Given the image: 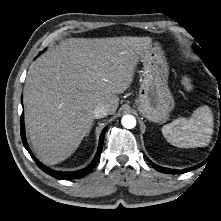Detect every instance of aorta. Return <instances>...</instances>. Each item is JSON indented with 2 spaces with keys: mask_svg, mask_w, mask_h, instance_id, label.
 I'll return each mask as SVG.
<instances>
[{
  "mask_svg": "<svg viewBox=\"0 0 221 221\" xmlns=\"http://www.w3.org/2000/svg\"><path fill=\"white\" fill-rule=\"evenodd\" d=\"M121 123L123 127L127 129H132L136 126V119L132 115H125L122 117Z\"/></svg>",
  "mask_w": 221,
  "mask_h": 221,
  "instance_id": "aorta-1",
  "label": "aorta"
}]
</instances>
